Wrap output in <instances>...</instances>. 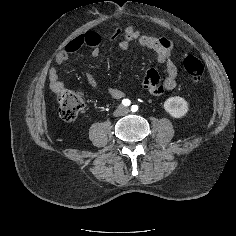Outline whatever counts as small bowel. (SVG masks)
<instances>
[{"instance_id": "c3829d8e", "label": "small bowel", "mask_w": 236, "mask_h": 236, "mask_svg": "<svg viewBox=\"0 0 236 236\" xmlns=\"http://www.w3.org/2000/svg\"><path fill=\"white\" fill-rule=\"evenodd\" d=\"M123 33V38L119 41L118 46L123 51L130 50L134 42H138L143 49L151 50L155 53L157 60L165 66V76L161 79L156 69H149L146 71L142 79V87L153 96H161L166 91L174 89L177 85L178 67L173 62L171 55L173 51V42L168 36H148L141 33L133 26H126L123 31L120 28L114 29L110 34V39H116ZM102 41V36L96 31H88L77 35L66 45L65 49L59 52L55 61L62 64L67 61L72 55L82 49H88L90 54L94 57L99 55V48ZM49 86L53 92H57L63 83L59 80L56 68L51 67L48 72ZM88 85L92 89H99L100 85L91 74H86ZM107 93L114 99H121L125 93L121 89L109 86Z\"/></svg>"}]
</instances>
